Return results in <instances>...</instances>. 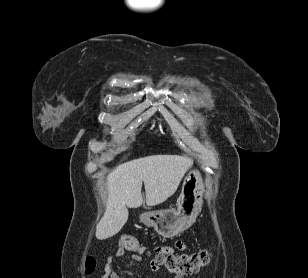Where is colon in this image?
Wrapping results in <instances>:
<instances>
[{"mask_svg": "<svg viewBox=\"0 0 308 278\" xmlns=\"http://www.w3.org/2000/svg\"><path fill=\"white\" fill-rule=\"evenodd\" d=\"M120 245L127 251L135 253L145 252L144 247L132 235H123L119 240ZM154 262L157 266H164L169 272L176 275H191L204 268L211 259L208 251H199L183 254H154ZM96 267V260L92 256L85 259V271L90 274Z\"/></svg>", "mask_w": 308, "mask_h": 278, "instance_id": "obj_1", "label": "colon"}]
</instances>
